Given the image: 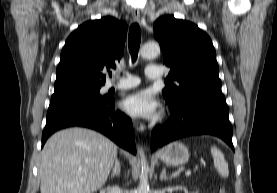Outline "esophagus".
<instances>
[{
    "mask_svg": "<svg viewBox=\"0 0 277 193\" xmlns=\"http://www.w3.org/2000/svg\"><path fill=\"white\" fill-rule=\"evenodd\" d=\"M132 17L134 21H140V11L136 8L132 9ZM133 125L135 126L136 130L139 132H143L146 129V125L140 121H134Z\"/></svg>",
    "mask_w": 277,
    "mask_h": 193,
    "instance_id": "obj_1",
    "label": "esophagus"
}]
</instances>
